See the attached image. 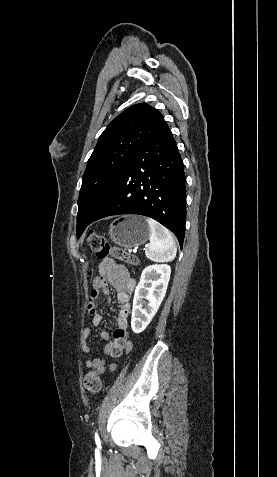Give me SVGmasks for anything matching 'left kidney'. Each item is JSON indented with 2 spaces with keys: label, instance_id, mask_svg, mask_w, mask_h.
Wrapping results in <instances>:
<instances>
[{
  "label": "left kidney",
  "instance_id": "5707ae66",
  "mask_svg": "<svg viewBox=\"0 0 277 477\" xmlns=\"http://www.w3.org/2000/svg\"><path fill=\"white\" fill-rule=\"evenodd\" d=\"M170 274L171 267L167 264L150 265L143 270L133 299L131 328L134 333L143 332L157 313L166 294Z\"/></svg>",
  "mask_w": 277,
  "mask_h": 477
}]
</instances>
